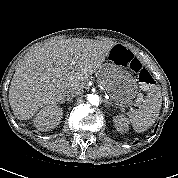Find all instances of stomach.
Here are the masks:
<instances>
[{
	"label": "stomach",
	"instance_id": "obj_1",
	"mask_svg": "<svg viewBox=\"0 0 178 178\" xmlns=\"http://www.w3.org/2000/svg\"><path fill=\"white\" fill-rule=\"evenodd\" d=\"M117 46L115 44L111 48L107 61L98 71V78L117 105H123L136 98L138 86L136 79L127 70L128 60L122 54H115Z\"/></svg>",
	"mask_w": 178,
	"mask_h": 178
}]
</instances>
